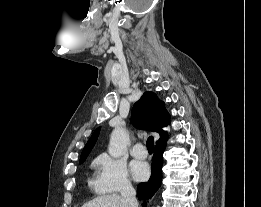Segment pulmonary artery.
Returning <instances> with one entry per match:
<instances>
[{"label":"pulmonary artery","mask_w":261,"mask_h":207,"mask_svg":"<svg viewBox=\"0 0 261 207\" xmlns=\"http://www.w3.org/2000/svg\"><path fill=\"white\" fill-rule=\"evenodd\" d=\"M131 154L136 158L143 159L147 156V150L142 143H136L131 150Z\"/></svg>","instance_id":"obj_1"}]
</instances>
